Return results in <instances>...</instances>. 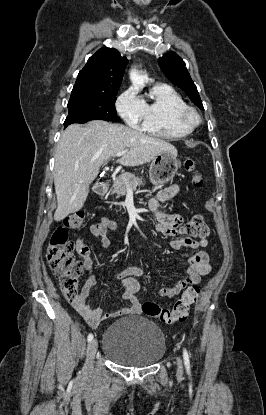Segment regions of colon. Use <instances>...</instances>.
Returning <instances> with one entry per match:
<instances>
[{"mask_svg": "<svg viewBox=\"0 0 266 415\" xmlns=\"http://www.w3.org/2000/svg\"><path fill=\"white\" fill-rule=\"evenodd\" d=\"M185 169L194 173L193 184L196 187L202 185V177L196 172V162L192 158L185 160ZM85 213L76 212L63 221L52 234L47 248V262L51 270L60 279V287L64 297L73 302L79 297L78 283L84 265L75 259L74 243L68 238V229L77 230L83 225ZM182 232L192 238L204 239L209 234V228L205 218L201 214L194 215L182 228ZM200 290L197 286L189 287L182 296L173 304L171 309L146 302L141 305V312L153 317L165 324L183 322L187 319L191 306L196 302Z\"/></svg>", "mask_w": 266, "mask_h": 415, "instance_id": "1", "label": "colon"}]
</instances>
